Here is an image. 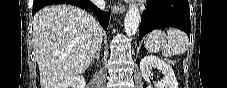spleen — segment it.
<instances>
[{"label": "spleen", "mask_w": 227, "mask_h": 88, "mask_svg": "<svg viewBox=\"0 0 227 88\" xmlns=\"http://www.w3.org/2000/svg\"><path fill=\"white\" fill-rule=\"evenodd\" d=\"M189 45L188 37L178 29H169L166 33L161 30L150 32L145 40L144 46L150 53L162 51L164 57L184 53Z\"/></svg>", "instance_id": "obj_1"}]
</instances>
